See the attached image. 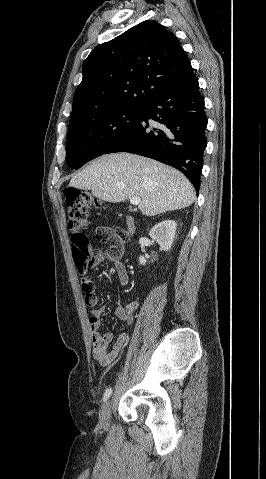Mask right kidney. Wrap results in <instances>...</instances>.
<instances>
[{
    "label": "right kidney",
    "mask_w": 266,
    "mask_h": 479,
    "mask_svg": "<svg viewBox=\"0 0 266 479\" xmlns=\"http://www.w3.org/2000/svg\"><path fill=\"white\" fill-rule=\"evenodd\" d=\"M177 223L174 220H164L156 224L149 232V236L155 240L161 250L169 251L175 238ZM139 263L145 265L146 259L139 257Z\"/></svg>",
    "instance_id": "right-kidney-1"
}]
</instances>
